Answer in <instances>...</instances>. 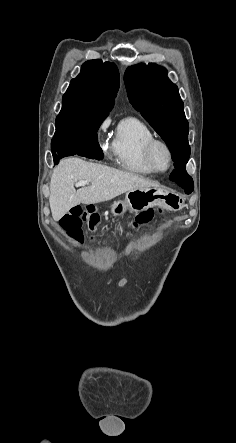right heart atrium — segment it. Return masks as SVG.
<instances>
[{"label": "right heart atrium", "instance_id": "d8ad5b80", "mask_svg": "<svg viewBox=\"0 0 236 443\" xmlns=\"http://www.w3.org/2000/svg\"><path fill=\"white\" fill-rule=\"evenodd\" d=\"M109 123H110V118L107 117L98 126V129H97V139H98V142H99L101 147H104L103 134L106 131V129L108 128Z\"/></svg>", "mask_w": 236, "mask_h": 443}]
</instances>
